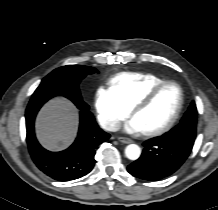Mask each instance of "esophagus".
Here are the masks:
<instances>
[{
  "label": "esophagus",
  "instance_id": "esophagus-1",
  "mask_svg": "<svg viewBox=\"0 0 218 210\" xmlns=\"http://www.w3.org/2000/svg\"><path fill=\"white\" fill-rule=\"evenodd\" d=\"M118 140L122 143H125V144H129L132 142V140L130 138H127V137H118Z\"/></svg>",
  "mask_w": 218,
  "mask_h": 210
}]
</instances>
